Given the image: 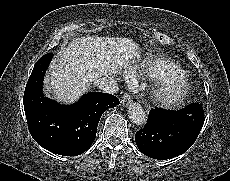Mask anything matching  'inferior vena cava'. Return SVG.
<instances>
[{"label":"inferior vena cava","instance_id":"inferior-vena-cava-1","mask_svg":"<svg viewBox=\"0 0 230 181\" xmlns=\"http://www.w3.org/2000/svg\"><path fill=\"white\" fill-rule=\"evenodd\" d=\"M94 86L103 92L116 94L119 90L117 81L109 76H103L93 82Z\"/></svg>","mask_w":230,"mask_h":181}]
</instances>
